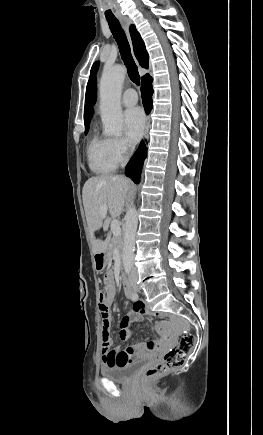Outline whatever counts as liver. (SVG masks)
<instances>
[{"instance_id": "obj_1", "label": "liver", "mask_w": 263, "mask_h": 435, "mask_svg": "<svg viewBox=\"0 0 263 435\" xmlns=\"http://www.w3.org/2000/svg\"><path fill=\"white\" fill-rule=\"evenodd\" d=\"M129 188L130 182L123 176H97L85 182L82 199L94 254L107 251L110 236L107 235L103 241L96 239L94 233L101 227L107 231L111 219L121 215ZM104 204L110 214V218L105 220L101 216V206Z\"/></svg>"}]
</instances>
